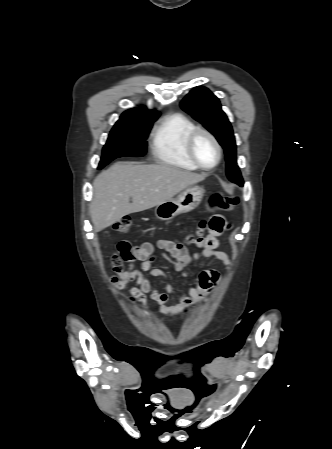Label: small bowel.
Segmentation results:
<instances>
[{
	"mask_svg": "<svg viewBox=\"0 0 332 449\" xmlns=\"http://www.w3.org/2000/svg\"><path fill=\"white\" fill-rule=\"evenodd\" d=\"M230 228L231 224L221 215H216L208 221H200L196 231V246L199 251L194 254H191L182 242L170 239L159 240L156 245L145 242L139 246H133L135 259L142 261L140 269H135L133 264H128L127 267L113 266L114 275L110 282L117 289H124L128 283L132 282L133 286L129 290L131 296L144 306H146L147 296H150L159 304L160 312L163 314L176 315L187 312L191 307L203 303L217 288L221 279L219 271L202 270L194 284L180 294L178 302L167 306L169 296L174 292V286L163 269L153 267L154 262L158 258L170 262L184 279L188 278L189 267L192 263L200 259L214 258L221 262L226 270H230L232 267L230 256L218 249L219 237ZM155 248L163 250L160 257L155 255ZM152 277L161 281L165 292L153 286L150 280Z\"/></svg>",
	"mask_w": 332,
	"mask_h": 449,
	"instance_id": "obj_1",
	"label": "small bowel"
}]
</instances>
